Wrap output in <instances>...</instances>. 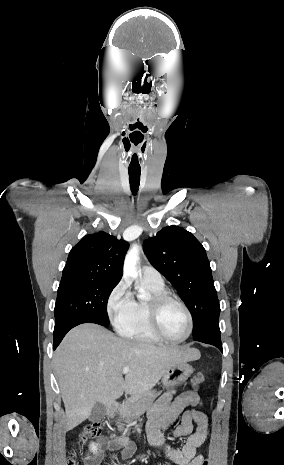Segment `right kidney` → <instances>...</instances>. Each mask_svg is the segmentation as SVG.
Instances as JSON below:
<instances>
[{
  "mask_svg": "<svg viewBox=\"0 0 284 465\" xmlns=\"http://www.w3.org/2000/svg\"><path fill=\"white\" fill-rule=\"evenodd\" d=\"M90 449H91V451H93V453H96V451H97V447H95L94 443H92V445H90Z\"/></svg>",
  "mask_w": 284,
  "mask_h": 465,
  "instance_id": "1",
  "label": "right kidney"
}]
</instances>
